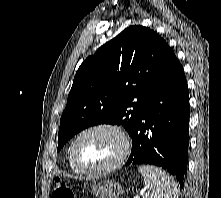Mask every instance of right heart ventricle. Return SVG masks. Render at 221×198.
I'll use <instances>...</instances> for the list:
<instances>
[{"instance_id": "right-heart-ventricle-1", "label": "right heart ventricle", "mask_w": 221, "mask_h": 198, "mask_svg": "<svg viewBox=\"0 0 221 198\" xmlns=\"http://www.w3.org/2000/svg\"><path fill=\"white\" fill-rule=\"evenodd\" d=\"M68 163H69V166H70V168H71L72 171L78 172V171L76 170V168L73 166L72 162H71L70 149H69V152H68Z\"/></svg>"}]
</instances>
